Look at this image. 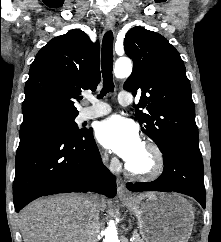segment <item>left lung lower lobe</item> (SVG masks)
<instances>
[{"label": "left lung lower lobe", "mask_w": 221, "mask_h": 242, "mask_svg": "<svg viewBox=\"0 0 221 242\" xmlns=\"http://www.w3.org/2000/svg\"><path fill=\"white\" fill-rule=\"evenodd\" d=\"M164 171L155 181L128 183L131 191L179 192L194 197L203 208L206 193L203 180V160L199 143L173 140L163 151Z\"/></svg>", "instance_id": "0a47b994"}]
</instances>
